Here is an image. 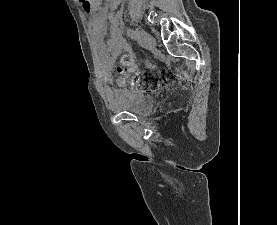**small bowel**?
<instances>
[{
	"label": "small bowel",
	"instance_id": "obj_1",
	"mask_svg": "<svg viewBox=\"0 0 277 225\" xmlns=\"http://www.w3.org/2000/svg\"><path fill=\"white\" fill-rule=\"evenodd\" d=\"M120 1L121 0H111L109 8L100 9L97 14L94 12L92 6H89V8L87 9L86 4L85 3L83 4L85 9L91 14L89 19V28H90L95 46L97 48L99 57L105 66H108L114 60V58H116L122 52H127L132 54L131 48L128 46V44L124 41L122 37L121 30L118 25V21L113 14V11L116 9ZM106 18L111 22V26H110V39L105 44L104 37L106 35V21H105ZM135 69H136V65H133L131 70L134 71ZM102 75L104 79V91H105L106 97L110 102H115L117 90L112 88L109 85V81H110L109 70L105 69ZM118 83L120 86L125 85L124 79H119Z\"/></svg>",
	"mask_w": 277,
	"mask_h": 225
}]
</instances>
